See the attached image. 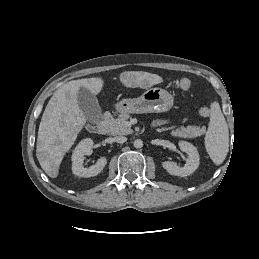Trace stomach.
<instances>
[{
	"mask_svg": "<svg viewBox=\"0 0 259 259\" xmlns=\"http://www.w3.org/2000/svg\"><path fill=\"white\" fill-rule=\"evenodd\" d=\"M174 105V97L162 88H149L138 98L120 100L115 109L120 114L162 113Z\"/></svg>",
	"mask_w": 259,
	"mask_h": 259,
	"instance_id": "obj_1",
	"label": "stomach"
}]
</instances>
